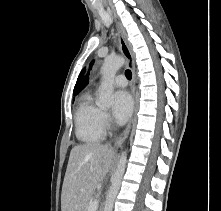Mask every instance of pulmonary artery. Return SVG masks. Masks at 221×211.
Wrapping results in <instances>:
<instances>
[{
	"label": "pulmonary artery",
	"instance_id": "obj_1",
	"mask_svg": "<svg viewBox=\"0 0 221 211\" xmlns=\"http://www.w3.org/2000/svg\"><path fill=\"white\" fill-rule=\"evenodd\" d=\"M113 83L116 87H125L127 85V79L123 75H118L114 78Z\"/></svg>",
	"mask_w": 221,
	"mask_h": 211
}]
</instances>
